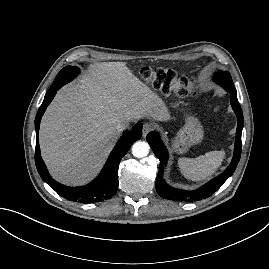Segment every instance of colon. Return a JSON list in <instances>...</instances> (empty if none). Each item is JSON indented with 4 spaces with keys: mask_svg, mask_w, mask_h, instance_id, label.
I'll return each instance as SVG.
<instances>
[{
    "mask_svg": "<svg viewBox=\"0 0 269 269\" xmlns=\"http://www.w3.org/2000/svg\"><path fill=\"white\" fill-rule=\"evenodd\" d=\"M143 79L150 81L159 89H176L179 95L187 96L194 93V82L189 78L177 79L170 71L145 68L141 71Z\"/></svg>",
    "mask_w": 269,
    "mask_h": 269,
    "instance_id": "1",
    "label": "colon"
}]
</instances>
